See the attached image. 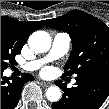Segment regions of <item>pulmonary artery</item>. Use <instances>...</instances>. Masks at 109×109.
Returning a JSON list of instances; mask_svg holds the SVG:
<instances>
[{
  "label": "pulmonary artery",
  "mask_w": 109,
  "mask_h": 109,
  "mask_svg": "<svg viewBox=\"0 0 109 109\" xmlns=\"http://www.w3.org/2000/svg\"><path fill=\"white\" fill-rule=\"evenodd\" d=\"M70 45V35L65 32H59L53 37L52 46L46 56L40 59L29 61L22 65L21 68L25 71H35L46 62L56 60L65 55L68 52ZM74 83L75 80H73L72 84Z\"/></svg>",
  "instance_id": "pulmonary-artery-1"
}]
</instances>
